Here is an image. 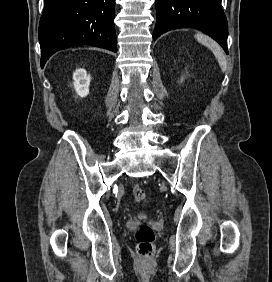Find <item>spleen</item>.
I'll use <instances>...</instances> for the list:
<instances>
[{"label": "spleen", "instance_id": "spleen-1", "mask_svg": "<svg viewBox=\"0 0 272 282\" xmlns=\"http://www.w3.org/2000/svg\"><path fill=\"white\" fill-rule=\"evenodd\" d=\"M195 38L197 39L198 42L208 47L213 52L214 56L216 57L221 67V70L225 71L227 67V63L221 47L215 41H213L212 39H210L209 37L203 34L198 33L195 35Z\"/></svg>", "mask_w": 272, "mask_h": 282}]
</instances>
